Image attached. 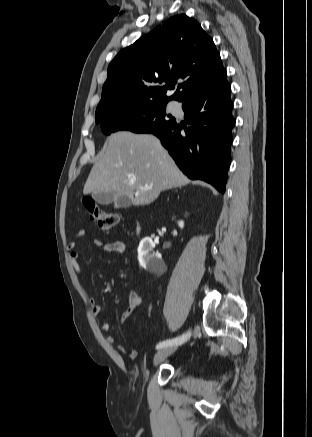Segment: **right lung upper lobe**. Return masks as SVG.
<instances>
[{
    "label": "right lung upper lobe",
    "instance_id": "right-lung-upper-lobe-1",
    "mask_svg": "<svg viewBox=\"0 0 312 437\" xmlns=\"http://www.w3.org/2000/svg\"><path fill=\"white\" fill-rule=\"evenodd\" d=\"M224 74L213 40L200 24L184 14L174 16L112 60L96 120L129 105L172 99L182 102ZM179 78L184 82L178 85V93L167 97V90Z\"/></svg>",
    "mask_w": 312,
    "mask_h": 437
}]
</instances>
